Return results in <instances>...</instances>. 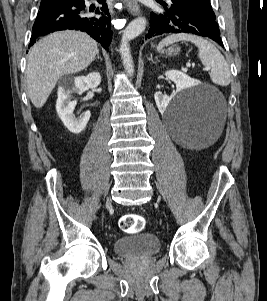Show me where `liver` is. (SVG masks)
<instances>
[{
  "instance_id": "liver-1",
  "label": "liver",
  "mask_w": 267,
  "mask_h": 301,
  "mask_svg": "<svg viewBox=\"0 0 267 301\" xmlns=\"http://www.w3.org/2000/svg\"><path fill=\"white\" fill-rule=\"evenodd\" d=\"M98 52L97 42L80 31H59L39 40L27 58V92L32 104L41 108L58 79L87 68Z\"/></svg>"
}]
</instances>
